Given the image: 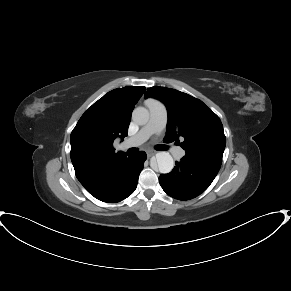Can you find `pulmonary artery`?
Here are the masks:
<instances>
[{"mask_svg":"<svg viewBox=\"0 0 291 291\" xmlns=\"http://www.w3.org/2000/svg\"><path fill=\"white\" fill-rule=\"evenodd\" d=\"M145 105L149 109L150 117L147 124L133 137L125 140L121 144V149L133 148L144 143L151 135L160 133L167 123V109L165 105L157 100L148 99ZM175 158H181L184 155V150L181 147H176L171 151Z\"/></svg>","mask_w":291,"mask_h":291,"instance_id":"pulmonary-artery-1","label":"pulmonary artery"}]
</instances>
